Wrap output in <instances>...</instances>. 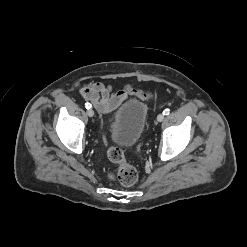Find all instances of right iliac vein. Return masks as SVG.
Masks as SVG:
<instances>
[{
    "instance_id": "right-iliac-vein-1",
    "label": "right iliac vein",
    "mask_w": 247,
    "mask_h": 247,
    "mask_svg": "<svg viewBox=\"0 0 247 247\" xmlns=\"http://www.w3.org/2000/svg\"><path fill=\"white\" fill-rule=\"evenodd\" d=\"M87 115H88L89 117H93V116H94V111H93L92 109H89V110L87 111Z\"/></svg>"
}]
</instances>
